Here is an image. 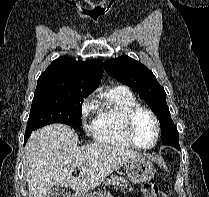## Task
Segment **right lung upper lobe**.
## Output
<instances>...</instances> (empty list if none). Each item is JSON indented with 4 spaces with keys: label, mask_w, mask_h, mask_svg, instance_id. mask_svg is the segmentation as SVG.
Wrapping results in <instances>:
<instances>
[{
    "label": "right lung upper lobe",
    "mask_w": 209,
    "mask_h": 197,
    "mask_svg": "<svg viewBox=\"0 0 209 197\" xmlns=\"http://www.w3.org/2000/svg\"><path fill=\"white\" fill-rule=\"evenodd\" d=\"M102 76L103 67L100 60L83 62L61 56L41 74L38 83L75 84L94 91Z\"/></svg>",
    "instance_id": "cb5924a9"
}]
</instances>
